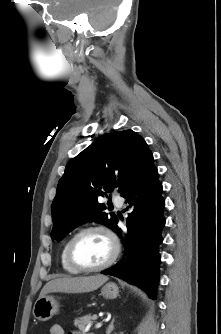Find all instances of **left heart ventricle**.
I'll return each mask as SVG.
<instances>
[{
	"label": "left heart ventricle",
	"mask_w": 221,
	"mask_h": 334,
	"mask_svg": "<svg viewBox=\"0 0 221 334\" xmlns=\"http://www.w3.org/2000/svg\"><path fill=\"white\" fill-rule=\"evenodd\" d=\"M111 253V240L101 231L84 233L73 246V257L82 266L101 265L110 257Z\"/></svg>",
	"instance_id": "obj_1"
}]
</instances>
